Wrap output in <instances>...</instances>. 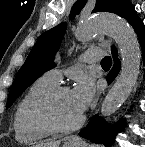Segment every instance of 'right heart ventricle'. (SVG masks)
<instances>
[{"instance_id": "right-heart-ventricle-1", "label": "right heart ventricle", "mask_w": 145, "mask_h": 147, "mask_svg": "<svg viewBox=\"0 0 145 147\" xmlns=\"http://www.w3.org/2000/svg\"><path fill=\"white\" fill-rule=\"evenodd\" d=\"M56 86L45 75L35 80L18 102L13 119L15 137L22 143H35L49 138L53 132L32 114L34 101Z\"/></svg>"}]
</instances>
